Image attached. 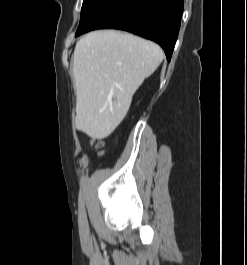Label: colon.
I'll use <instances>...</instances> for the list:
<instances>
[{
	"mask_svg": "<svg viewBox=\"0 0 247 265\" xmlns=\"http://www.w3.org/2000/svg\"><path fill=\"white\" fill-rule=\"evenodd\" d=\"M97 147H98V148L102 147V143H98V144H97Z\"/></svg>",
	"mask_w": 247,
	"mask_h": 265,
	"instance_id": "1",
	"label": "colon"
}]
</instances>
